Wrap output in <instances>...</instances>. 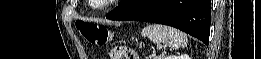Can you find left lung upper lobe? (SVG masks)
<instances>
[{
	"instance_id": "5c2ea615",
	"label": "left lung upper lobe",
	"mask_w": 261,
	"mask_h": 59,
	"mask_svg": "<svg viewBox=\"0 0 261 59\" xmlns=\"http://www.w3.org/2000/svg\"><path fill=\"white\" fill-rule=\"evenodd\" d=\"M125 0H121V3L124 2Z\"/></svg>"
}]
</instances>
